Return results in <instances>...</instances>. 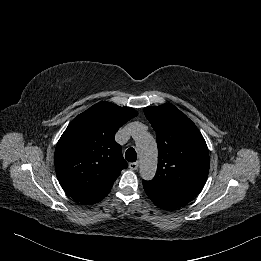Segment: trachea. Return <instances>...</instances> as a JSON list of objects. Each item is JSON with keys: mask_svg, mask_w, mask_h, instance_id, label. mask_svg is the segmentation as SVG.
I'll return each instance as SVG.
<instances>
[{"mask_svg": "<svg viewBox=\"0 0 261 261\" xmlns=\"http://www.w3.org/2000/svg\"><path fill=\"white\" fill-rule=\"evenodd\" d=\"M125 159L128 162H135L137 159V154L134 148H129L127 149L126 153H125Z\"/></svg>", "mask_w": 261, "mask_h": 261, "instance_id": "trachea-1", "label": "trachea"}]
</instances>
